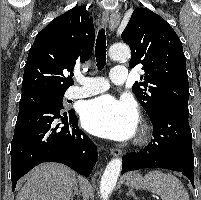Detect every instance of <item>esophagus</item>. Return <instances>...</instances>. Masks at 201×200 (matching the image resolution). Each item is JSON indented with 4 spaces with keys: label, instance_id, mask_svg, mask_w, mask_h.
<instances>
[{
    "label": "esophagus",
    "instance_id": "esophagus-1",
    "mask_svg": "<svg viewBox=\"0 0 201 200\" xmlns=\"http://www.w3.org/2000/svg\"><path fill=\"white\" fill-rule=\"evenodd\" d=\"M112 15H110V13L108 11H105L103 12V15H102V21L105 25H107L111 19ZM110 153L112 156L114 157H118L121 155L122 151L118 148H112L110 150Z\"/></svg>",
    "mask_w": 201,
    "mask_h": 200
}]
</instances>
